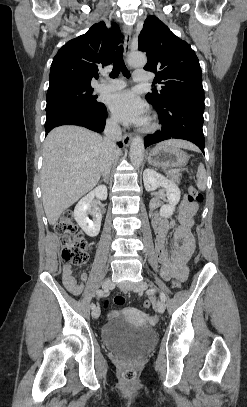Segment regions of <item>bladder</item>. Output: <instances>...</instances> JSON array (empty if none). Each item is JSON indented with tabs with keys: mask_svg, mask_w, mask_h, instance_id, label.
I'll return each mask as SVG.
<instances>
[{
	"mask_svg": "<svg viewBox=\"0 0 247 407\" xmlns=\"http://www.w3.org/2000/svg\"><path fill=\"white\" fill-rule=\"evenodd\" d=\"M102 341L113 353L127 358H139L157 342V334L150 326H134L122 314L110 318L102 327Z\"/></svg>",
	"mask_w": 247,
	"mask_h": 407,
	"instance_id": "obj_1",
	"label": "bladder"
}]
</instances>
